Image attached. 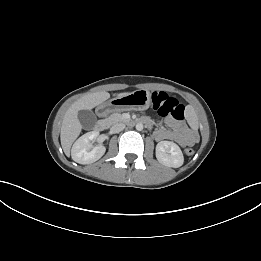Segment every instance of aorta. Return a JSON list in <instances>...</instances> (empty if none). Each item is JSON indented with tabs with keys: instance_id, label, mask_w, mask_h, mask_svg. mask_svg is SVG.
I'll list each match as a JSON object with an SVG mask.
<instances>
[{
	"instance_id": "obj_1",
	"label": "aorta",
	"mask_w": 261,
	"mask_h": 261,
	"mask_svg": "<svg viewBox=\"0 0 261 261\" xmlns=\"http://www.w3.org/2000/svg\"><path fill=\"white\" fill-rule=\"evenodd\" d=\"M136 129H137L138 131L143 130V124H142V123L136 124Z\"/></svg>"
}]
</instances>
